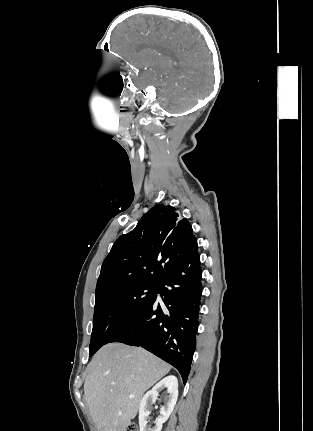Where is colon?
Segmentation results:
<instances>
[{
    "mask_svg": "<svg viewBox=\"0 0 313 431\" xmlns=\"http://www.w3.org/2000/svg\"><path fill=\"white\" fill-rule=\"evenodd\" d=\"M126 431H138L137 426L134 423H131Z\"/></svg>",
    "mask_w": 313,
    "mask_h": 431,
    "instance_id": "1",
    "label": "colon"
}]
</instances>
